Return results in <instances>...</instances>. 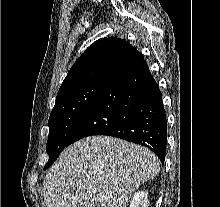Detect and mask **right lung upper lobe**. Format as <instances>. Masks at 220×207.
<instances>
[{
    "label": "right lung upper lobe",
    "instance_id": "cb5924a9",
    "mask_svg": "<svg viewBox=\"0 0 220 207\" xmlns=\"http://www.w3.org/2000/svg\"><path fill=\"white\" fill-rule=\"evenodd\" d=\"M142 59V54L125 40L115 37L99 39L76 60L57 96L84 84L107 79Z\"/></svg>",
    "mask_w": 220,
    "mask_h": 207
}]
</instances>
